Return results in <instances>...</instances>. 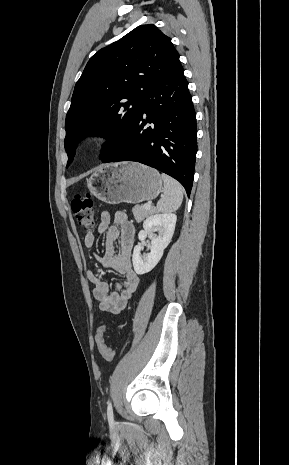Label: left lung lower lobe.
Returning a JSON list of instances; mask_svg holds the SVG:
<instances>
[{"label":"left lung lower lobe","mask_w":289,"mask_h":465,"mask_svg":"<svg viewBox=\"0 0 289 465\" xmlns=\"http://www.w3.org/2000/svg\"><path fill=\"white\" fill-rule=\"evenodd\" d=\"M147 123L152 125L145 127ZM196 134L195 110L180 66L146 92L140 113L123 141L102 162L137 161L156 168L178 180L189 196L197 151Z\"/></svg>","instance_id":"1"}]
</instances>
